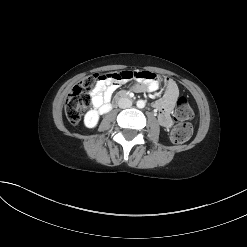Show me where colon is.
Returning <instances> with one entry per match:
<instances>
[{"instance_id":"1","label":"colon","mask_w":247,"mask_h":247,"mask_svg":"<svg viewBox=\"0 0 247 247\" xmlns=\"http://www.w3.org/2000/svg\"><path fill=\"white\" fill-rule=\"evenodd\" d=\"M103 77L100 74H93L83 79L72 89L65 106L66 117L71 124L76 125L79 123L84 110L90 102L88 91L94 89ZM192 117L193 110L188 101L184 97L179 98L175 109V118L178 124L170 134V140L173 143L181 144L189 140L192 135V127L185 121Z\"/></svg>"}]
</instances>
